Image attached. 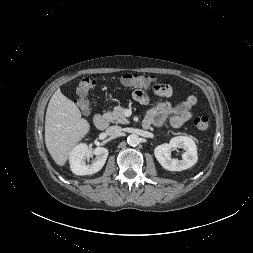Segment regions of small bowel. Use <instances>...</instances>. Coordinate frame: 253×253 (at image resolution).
Instances as JSON below:
<instances>
[{
	"label": "small bowel",
	"mask_w": 253,
	"mask_h": 253,
	"mask_svg": "<svg viewBox=\"0 0 253 253\" xmlns=\"http://www.w3.org/2000/svg\"><path fill=\"white\" fill-rule=\"evenodd\" d=\"M152 92L162 99H168L172 96L173 89L168 84H155L152 86ZM132 96L140 104H148L149 102L148 94L142 89H136ZM196 103L197 99L193 95L188 96L177 105H173L168 101H162L148 110L144 124L147 126H161L166 121H169L171 126L178 128L192 118V110Z\"/></svg>",
	"instance_id": "1"
}]
</instances>
